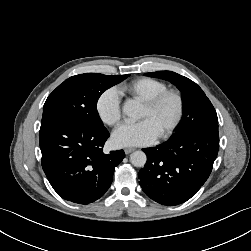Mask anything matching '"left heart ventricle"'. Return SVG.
I'll return each mask as SVG.
<instances>
[{"label": "left heart ventricle", "mask_w": 251, "mask_h": 251, "mask_svg": "<svg viewBox=\"0 0 251 251\" xmlns=\"http://www.w3.org/2000/svg\"><path fill=\"white\" fill-rule=\"evenodd\" d=\"M175 112L176 103L174 99L167 98L155 110H150L146 106H143L139 119H150L156 131L160 134L171 122Z\"/></svg>", "instance_id": "b2bd125f"}]
</instances>
